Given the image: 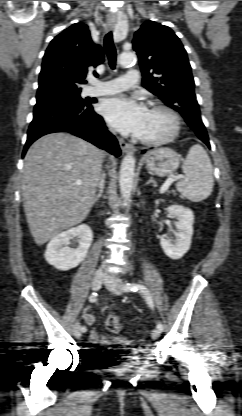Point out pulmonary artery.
<instances>
[{
  "mask_svg": "<svg viewBox=\"0 0 242 416\" xmlns=\"http://www.w3.org/2000/svg\"><path fill=\"white\" fill-rule=\"evenodd\" d=\"M138 85V71L129 69L124 76L95 84L88 92L91 96L111 95Z\"/></svg>",
  "mask_w": 242,
  "mask_h": 416,
  "instance_id": "pulmonary-artery-1",
  "label": "pulmonary artery"
}]
</instances>
